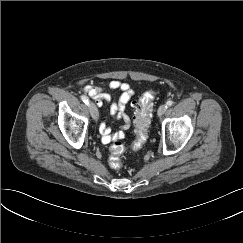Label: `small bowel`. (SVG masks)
Masks as SVG:
<instances>
[{
	"label": "small bowel",
	"instance_id": "1",
	"mask_svg": "<svg viewBox=\"0 0 243 243\" xmlns=\"http://www.w3.org/2000/svg\"><path fill=\"white\" fill-rule=\"evenodd\" d=\"M108 90H119L122 92L121 96L117 101L112 99L111 94L105 88L94 86V85H86L83 90L86 92L98 106H101L103 103L110 104V113L116 119H123L124 124L121 128L112 132L111 127L106 125L104 122L100 125V132L102 135V142L104 144L110 143L115 140H120L125 137V131L130 126V119L128 115L125 113L126 105L131 99L134 91L130 87V85L126 82L120 80H112L108 84Z\"/></svg>",
	"mask_w": 243,
	"mask_h": 243
}]
</instances>
